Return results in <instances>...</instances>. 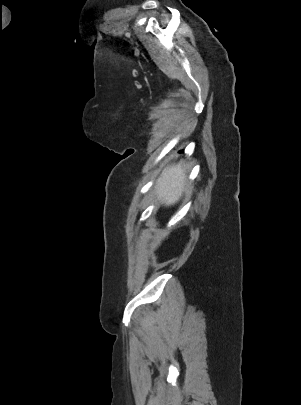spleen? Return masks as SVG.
Listing matches in <instances>:
<instances>
[{"label": "spleen", "mask_w": 301, "mask_h": 405, "mask_svg": "<svg viewBox=\"0 0 301 405\" xmlns=\"http://www.w3.org/2000/svg\"><path fill=\"white\" fill-rule=\"evenodd\" d=\"M186 174L181 164L167 167L157 182L158 195L166 205L176 203L182 196Z\"/></svg>", "instance_id": "3e777b00"}]
</instances>
